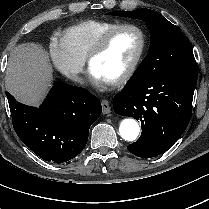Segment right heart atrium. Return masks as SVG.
<instances>
[{"instance_id":"d8ad5b80","label":"right heart atrium","mask_w":209,"mask_h":209,"mask_svg":"<svg viewBox=\"0 0 209 209\" xmlns=\"http://www.w3.org/2000/svg\"><path fill=\"white\" fill-rule=\"evenodd\" d=\"M49 55L53 65L67 78L80 82L84 70V60L77 57L62 36L54 35L49 45Z\"/></svg>"}]
</instances>
